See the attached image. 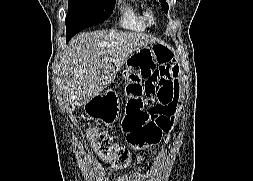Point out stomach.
<instances>
[{
  "label": "stomach",
  "instance_id": "0dacf381",
  "mask_svg": "<svg viewBox=\"0 0 253 181\" xmlns=\"http://www.w3.org/2000/svg\"><path fill=\"white\" fill-rule=\"evenodd\" d=\"M112 93L113 91L108 90L104 95L99 94L93 97L84 105L85 113L92 119H98L106 123L115 121L119 114V105L116 94H114L115 98L111 99Z\"/></svg>",
  "mask_w": 253,
  "mask_h": 181
}]
</instances>
